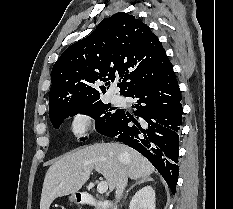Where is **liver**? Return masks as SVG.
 Returning a JSON list of instances; mask_svg holds the SVG:
<instances>
[{
  "instance_id": "6515ba94",
  "label": "liver",
  "mask_w": 233,
  "mask_h": 209,
  "mask_svg": "<svg viewBox=\"0 0 233 209\" xmlns=\"http://www.w3.org/2000/svg\"><path fill=\"white\" fill-rule=\"evenodd\" d=\"M93 169L104 176L110 191L116 187L122 169L134 180L150 176L155 171L146 158L124 144L85 146L65 154L49 167L43 183L40 209H49L58 197L77 193Z\"/></svg>"
}]
</instances>
